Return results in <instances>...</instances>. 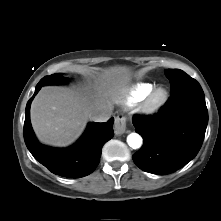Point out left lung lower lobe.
Returning <instances> with one entry per match:
<instances>
[{
    "label": "left lung lower lobe",
    "mask_w": 221,
    "mask_h": 221,
    "mask_svg": "<svg viewBox=\"0 0 221 221\" xmlns=\"http://www.w3.org/2000/svg\"><path fill=\"white\" fill-rule=\"evenodd\" d=\"M135 130L143 146L133 155L134 163L153 174L177 171L199 152L208 123V111L199 83L170 93L167 103L150 116L134 115Z\"/></svg>",
    "instance_id": "obj_1"
}]
</instances>
